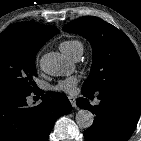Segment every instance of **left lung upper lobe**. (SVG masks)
Returning <instances> with one entry per match:
<instances>
[{
    "mask_svg": "<svg viewBox=\"0 0 141 141\" xmlns=\"http://www.w3.org/2000/svg\"><path fill=\"white\" fill-rule=\"evenodd\" d=\"M63 30L80 34L92 45V68L83 84L84 91L94 94L106 89L141 90V61L123 32L94 16L73 20Z\"/></svg>",
    "mask_w": 141,
    "mask_h": 141,
    "instance_id": "1",
    "label": "left lung upper lobe"
}]
</instances>
